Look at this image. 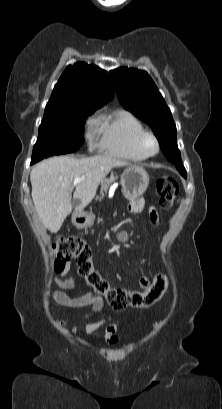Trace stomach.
Here are the masks:
<instances>
[{"mask_svg": "<svg viewBox=\"0 0 222 409\" xmlns=\"http://www.w3.org/2000/svg\"><path fill=\"white\" fill-rule=\"evenodd\" d=\"M120 184L126 198L135 200L141 196L149 184V175L141 166H128L121 175ZM95 216L84 210L75 211L72 214V224L79 229L93 226Z\"/></svg>", "mask_w": 222, "mask_h": 409, "instance_id": "obj_1", "label": "stomach"}]
</instances>
